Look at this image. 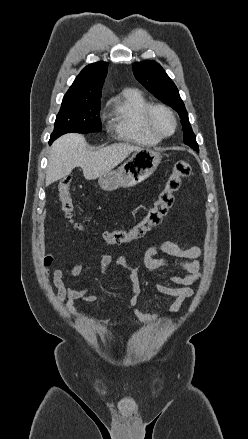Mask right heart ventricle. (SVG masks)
<instances>
[{
	"instance_id": "right-heart-ventricle-1",
	"label": "right heart ventricle",
	"mask_w": 248,
	"mask_h": 439,
	"mask_svg": "<svg viewBox=\"0 0 248 439\" xmlns=\"http://www.w3.org/2000/svg\"><path fill=\"white\" fill-rule=\"evenodd\" d=\"M150 102L137 89H127L114 100L109 113V128L115 136L126 142L153 146L161 139L146 125L145 112Z\"/></svg>"
}]
</instances>
